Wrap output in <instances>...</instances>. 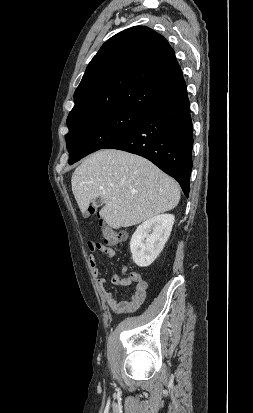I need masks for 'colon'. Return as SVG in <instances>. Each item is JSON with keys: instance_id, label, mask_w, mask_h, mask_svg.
<instances>
[{"instance_id": "1", "label": "colon", "mask_w": 253, "mask_h": 413, "mask_svg": "<svg viewBox=\"0 0 253 413\" xmlns=\"http://www.w3.org/2000/svg\"><path fill=\"white\" fill-rule=\"evenodd\" d=\"M95 214L96 209L93 207H89L87 210L83 212V215L87 218H90ZM100 227L104 242L109 246H116L125 239V235L123 233L116 231L104 222H101Z\"/></svg>"}]
</instances>
